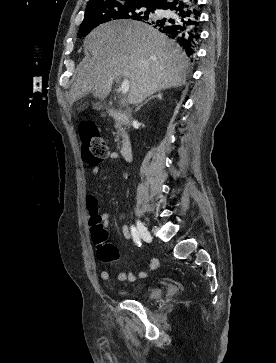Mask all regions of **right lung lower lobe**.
<instances>
[{
    "label": "right lung lower lobe",
    "instance_id": "obj_1",
    "mask_svg": "<svg viewBox=\"0 0 276 363\" xmlns=\"http://www.w3.org/2000/svg\"><path fill=\"white\" fill-rule=\"evenodd\" d=\"M197 2L198 0H164L157 8L166 10L168 14L160 19L150 18L145 21L176 41L188 56L193 57L200 38Z\"/></svg>",
    "mask_w": 276,
    "mask_h": 363
}]
</instances>
